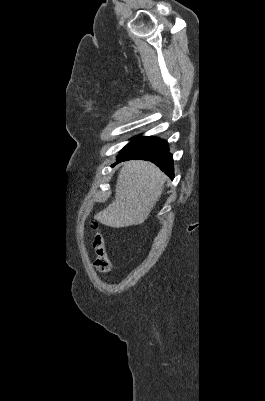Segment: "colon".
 <instances>
[{"label":"colon","mask_w":265,"mask_h":401,"mask_svg":"<svg viewBox=\"0 0 265 401\" xmlns=\"http://www.w3.org/2000/svg\"><path fill=\"white\" fill-rule=\"evenodd\" d=\"M90 227L94 232L92 240V247L96 254L94 264L99 272L108 273L111 269V262L105 251L103 236L97 231L98 226L96 222H91Z\"/></svg>","instance_id":"colon-1"}]
</instances>
